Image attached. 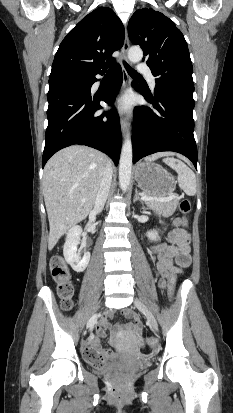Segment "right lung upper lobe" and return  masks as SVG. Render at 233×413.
Segmentation results:
<instances>
[{
	"mask_svg": "<svg viewBox=\"0 0 233 413\" xmlns=\"http://www.w3.org/2000/svg\"><path fill=\"white\" fill-rule=\"evenodd\" d=\"M124 27L110 8L99 7L83 18L61 42L49 82L107 69L112 53L123 46Z\"/></svg>",
	"mask_w": 233,
	"mask_h": 413,
	"instance_id": "right-lung-upper-lobe-1",
	"label": "right lung upper lobe"
}]
</instances>
